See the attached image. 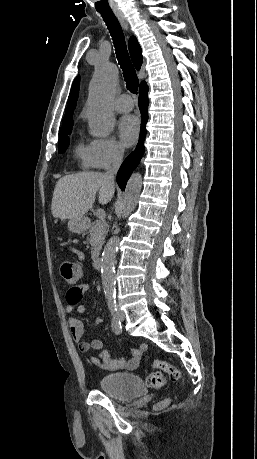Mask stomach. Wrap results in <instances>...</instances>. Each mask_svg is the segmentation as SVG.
Segmentation results:
<instances>
[{"label":"stomach","mask_w":257,"mask_h":459,"mask_svg":"<svg viewBox=\"0 0 257 459\" xmlns=\"http://www.w3.org/2000/svg\"><path fill=\"white\" fill-rule=\"evenodd\" d=\"M86 221L84 217L70 219L68 222L69 231L80 234L85 230Z\"/></svg>","instance_id":"obj_1"}]
</instances>
